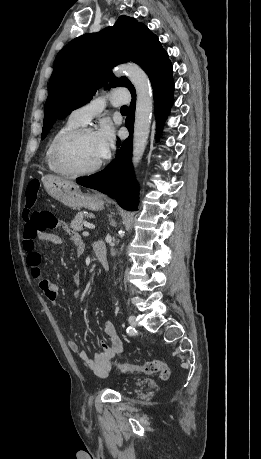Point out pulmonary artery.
<instances>
[{"instance_id": "e3ab8cb5", "label": "pulmonary artery", "mask_w": 261, "mask_h": 459, "mask_svg": "<svg viewBox=\"0 0 261 459\" xmlns=\"http://www.w3.org/2000/svg\"><path fill=\"white\" fill-rule=\"evenodd\" d=\"M128 100L129 97L125 90L113 89L106 94L95 97L87 104L73 110L70 114V118L81 125H85L94 116L98 115L105 108L107 103L118 106L125 104Z\"/></svg>"}]
</instances>
